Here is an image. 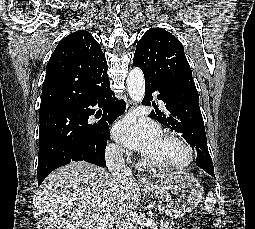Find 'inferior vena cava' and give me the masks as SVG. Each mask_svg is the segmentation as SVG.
<instances>
[{
  "label": "inferior vena cava",
  "mask_w": 255,
  "mask_h": 229,
  "mask_svg": "<svg viewBox=\"0 0 255 229\" xmlns=\"http://www.w3.org/2000/svg\"><path fill=\"white\" fill-rule=\"evenodd\" d=\"M124 149L120 146L108 148L106 151V163L112 176L117 181L132 179L131 169L125 165L123 158ZM118 229H135V214L131 209L123 208L116 220Z\"/></svg>",
  "instance_id": "obj_1"
}]
</instances>
